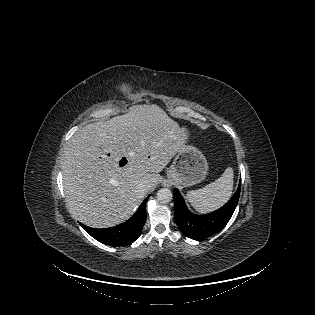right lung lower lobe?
Returning <instances> with one entry per match:
<instances>
[{
    "instance_id": "obj_1",
    "label": "right lung lower lobe",
    "mask_w": 315,
    "mask_h": 315,
    "mask_svg": "<svg viewBox=\"0 0 315 315\" xmlns=\"http://www.w3.org/2000/svg\"><path fill=\"white\" fill-rule=\"evenodd\" d=\"M149 196L143 201L136 213L126 222L104 229L81 226L96 240L111 246H124L133 243L141 234L146 221V202Z\"/></svg>"
}]
</instances>
